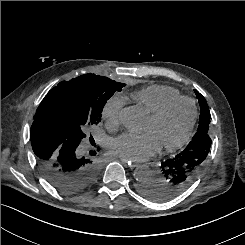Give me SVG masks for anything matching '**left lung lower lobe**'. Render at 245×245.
I'll return each instance as SVG.
<instances>
[{"instance_id":"left-lung-lower-lobe-1","label":"left lung lower lobe","mask_w":245,"mask_h":245,"mask_svg":"<svg viewBox=\"0 0 245 245\" xmlns=\"http://www.w3.org/2000/svg\"><path fill=\"white\" fill-rule=\"evenodd\" d=\"M211 143L209 135L193 138L182 152L161 164L158 175L139 187L141 194L155 202H166L180 195L201 172Z\"/></svg>"}]
</instances>
